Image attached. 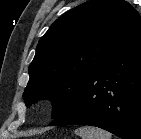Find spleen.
<instances>
[{
  "mask_svg": "<svg viewBox=\"0 0 141 139\" xmlns=\"http://www.w3.org/2000/svg\"><path fill=\"white\" fill-rule=\"evenodd\" d=\"M75 134L82 139H111V134L93 126L81 127L75 130Z\"/></svg>",
  "mask_w": 141,
  "mask_h": 139,
  "instance_id": "1",
  "label": "spleen"
}]
</instances>
